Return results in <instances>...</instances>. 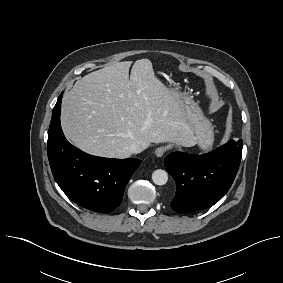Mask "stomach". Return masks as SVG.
Listing matches in <instances>:
<instances>
[{
	"label": "stomach",
	"instance_id": "stomach-1",
	"mask_svg": "<svg viewBox=\"0 0 283 283\" xmlns=\"http://www.w3.org/2000/svg\"><path fill=\"white\" fill-rule=\"evenodd\" d=\"M173 92L181 103L185 115L191 124L197 145L203 151L210 150L214 142V126L204 116L202 110L191 96Z\"/></svg>",
	"mask_w": 283,
	"mask_h": 283
}]
</instances>
